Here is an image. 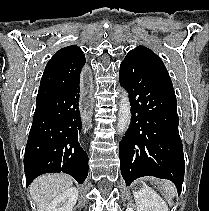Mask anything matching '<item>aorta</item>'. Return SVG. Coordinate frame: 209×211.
<instances>
[{
  "label": "aorta",
  "mask_w": 209,
  "mask_h": 211,
  "mask_svg": "<svg viewBox=\"0 0 209 211\" xmlns=\"http://www.w3.org/2000/svg\"><path fill=\"white\" fill-rule=\"evenodd\" d=\"M131 120V106L128 93L122 91L118 112L117 131L119 134H124L130 124Z\"/></svg>",
  "instance_id": "762f6f07"
}]
</instances>
